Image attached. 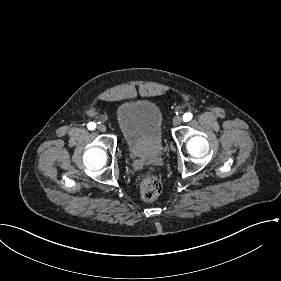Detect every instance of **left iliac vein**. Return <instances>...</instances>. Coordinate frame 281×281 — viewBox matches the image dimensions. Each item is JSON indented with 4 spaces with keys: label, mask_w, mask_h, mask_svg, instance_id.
I'll return each instance as SVG.
<instances>
[{
    "label": "left iliac vein",
    "mask_w": 281,
    "mask_h": 281,
    "mask_svg": "<svg viewBox=\"0 0 281 281\" xmlns=\"http://www.w3.org/2000/svg\"><path fill=\"white\" fill-rule=\"evenodd\" d=\"M183 118L181 116L174 117L172 123L174 126H177L182 123Z\"/></svg>",
    "instance_id": "obj_1"
}]
</instances>
